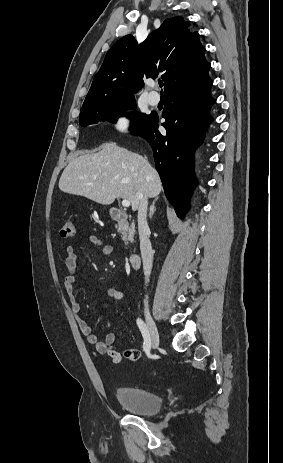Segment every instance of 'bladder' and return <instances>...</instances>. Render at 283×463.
I'll return each mask as SVG.
<instances>
[{"label":"bladder","mask_w":283,"mask_h":463,"mask_svg":"<svg viewBox=\"0 0 283 463\" xmlns=\"http://www.w3.org/2000/svg\"><path fill=\"white\" fill-rule=\"evenodd\" d=\"M115 395L118 402L132 414L152 416L162 408L159 394L138 387H118Z\"/></svg>","instance_id":"obj_1"}]
</instances>
